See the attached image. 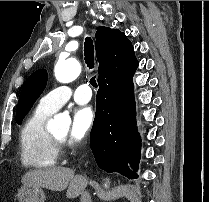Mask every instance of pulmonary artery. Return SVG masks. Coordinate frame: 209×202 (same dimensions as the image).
<instances>
[{"instance_id": "e3ab8cb5", "label": "pulmonary artery", "mask_w": 209, "mask_h": 202, "mask_svg": "<svg viewBox=\"0 0 209 202\" xmlns=\"http://www.w3.org/2000/svg\"><path fill=\"white\" fill-rule=\"evenodd\" d=\"M71 98L78 104H85L92 98V91L87 85L58 86L41 97L39 107L49 112H56Z\"/></svg>"}]
</instances>
